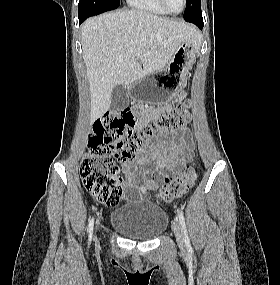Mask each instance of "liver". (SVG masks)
Returning <instances> with one entry per match:
<instances>
[{
	"mask_svg": "<svg viewBox=\"0 0 280 285\" xmlns=\"http://www.w3.org/2000/svg\"><path fill=\"white\" fill-rule=\"evenodd\" d=\"M199 40L192 25L143 10L87 19L81 27V44L90 89V122L108 111L114 86L130 87L162 70L182 42L196 45Z\"/></svg>",
	"mask_w": 280,
	"mask_h": 285,
	"instance_id": "liver-1",
	"label": "liver"
}]
</instances>
